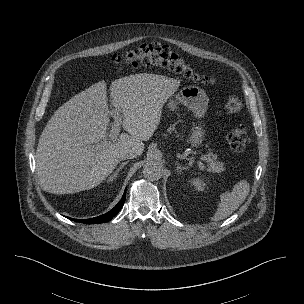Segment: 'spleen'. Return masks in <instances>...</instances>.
Segmentation results:
<instances>
[{
  "label": "spleen",
  "instance_id": "3e777b00",
  "mask_svg": "<svg viewBox=\"0 0 304 304\" xmlns=\"http://www.w3.org/2000/svg\"><path fill=\"white\" fill-rule=\"evenodd\" d=\"M249 191V183L243 180L234 186L232 192L222 193L218 208L212 217V220L219 221L227 218L244 202L249 194Z\"/></svg>",
  "mask_w": 304,
  "mask_h": 304
}]
</instances>
